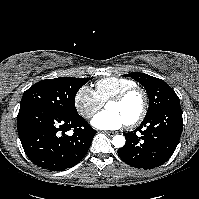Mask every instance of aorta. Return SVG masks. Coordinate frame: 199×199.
Instances as JSON below:
<instances>
[{
    "label": "aorta",
    "mask_w": 199,
    "mask_h": 199,
    "mask_svg": "<svg viewBox=\"0 0 199 199\" xmlns=\"http://www.w3.org/2000/svg\"><path fill=\"white\" fill-rule=\"evenodd\" d=\"M112 143L116 148H121L125 145V137L123 135H116L113 137Z\"/></svg>",
    "instance_id": "obj_1"
}]
</instances>
